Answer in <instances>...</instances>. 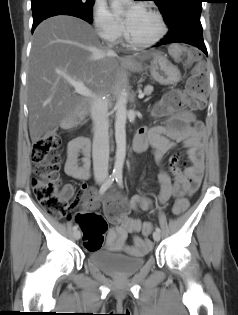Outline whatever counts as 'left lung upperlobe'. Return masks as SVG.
Wrapping results in <instances>:
<instances>
[{
  "mask_svg": "<svg viewBox=\"0 0 238 315\" xmlns=\"http://www.w3.org/2000/svg\"><path fill=\"white\" fill-rule=\"evenodd\" d=\"M156 2L165 23L172 27L179 18L189 13H201L202 0H153Z\"/></svg>",
  "mask_w": 238,
  "mask_h": 315,
  "instance_id": "1",
  "label": "left lung upper lobe"
}]
</instances>
